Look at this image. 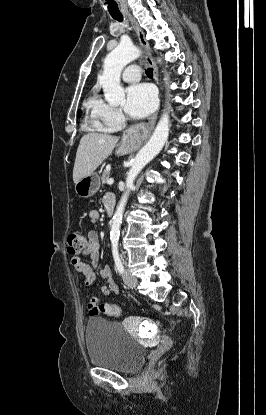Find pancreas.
Listing matches in <instances>:
<instances>
[{"instance_id":"1","label":"pancreas","mask_w":266,"mask_h":415,"mask_svg":"<svg viewBox=\"0 0 266 415\" xmlns=\"http://www.w3.org/2000/svg\"><path fill=\"white\" fill-rule=\"evenodd\" d=\"M109 177H110V172L108 170H104L102 177H101L102 184L107 183V180L109 179Z\"/></svg>"}]
</instances>
